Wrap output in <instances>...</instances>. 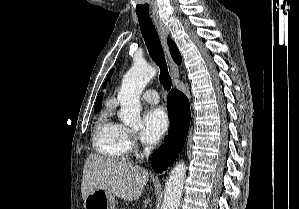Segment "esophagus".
<instances>
[{
	"label": "esophagus",
	"instance_id": "1",
	"mask_svg": "<svg viewBox=\"0 0 299 209\" xmlns=\"http://www.w3.org/2000/svg\"><path fill=\"white\" fill-rule=\"evenodd\" d=\"M152 19H153V22L160 34V37H161L164 54H165V57L168 61L169 67H170V74H171V78L173 81V85L175 87H177V82L180 79V68L175 64V62L173 61V59L170 55V52H169V48L167 45V39L169 37V30H168L167 26L163 23V21L160 17L154 16V17H152Z\"/></svg>",
	"mask_w": 299,
	"mask_h": 209
}]
</instances>
